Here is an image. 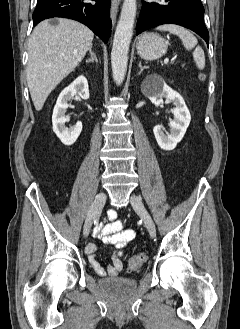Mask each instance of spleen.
<instances>
[{
    "label": "spleen",
    "instance_id": "obj_1",
    "mask_svg": "<svg viewBox=\"0 0 240 329\" xmlns=\"http://www.w3.org/2000/svg\"><path fill=\"white\" fill-rule=\"evenodd\" d=\"M156 30L168 31L172 34L177 35L181 39L183 46L187 50H191L195 47V50L193 51V58L196 62V66L200 70L204 69L205 67L204 51L200 46H197L198 41L190 31L175 24H164L157 27Z\"/></svg>",
    "mask_w": 240,
    "mask_h": 329
}]
</instances>
